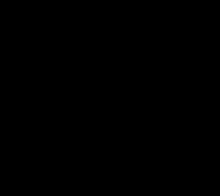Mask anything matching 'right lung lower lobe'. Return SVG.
Returning <instances> with one entry per match:
<instances>
[{"instance_id":"right-lung-lower-lobe-1","label":"right lung lower lobe","mask_w":220,"mask_h":196,"mask_svg":"<svg viewBox=\"0 0 220 196\" xmlns=\"http://www.w3.org/2000/svg\"><path fill=\"white\" fill-rule=\"evenodd\" d=\"M64 131L68 134H75V129L72 128L66 121L62 122Z\"/></svg>"}]
</instances>
